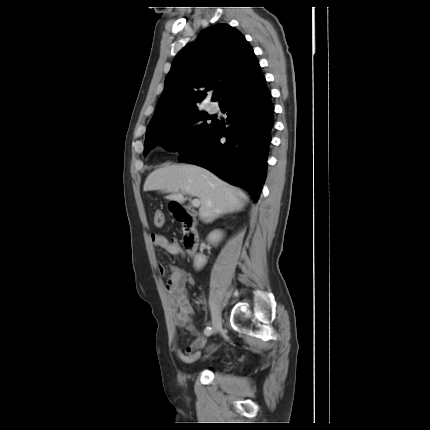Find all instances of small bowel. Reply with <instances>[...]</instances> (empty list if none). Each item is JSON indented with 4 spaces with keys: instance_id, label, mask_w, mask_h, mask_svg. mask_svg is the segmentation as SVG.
I'll use <instances>...</instances> for the list:
<instances>
[{
    "instance_id": "c3829d8e",
    "label": "small bowel",
    "mask_w": 430,
    "mask_h": 430,
    "mask_svg": "<svg viewBox=\"0 0 430 430\" xmlns=\"http://www.w3.org/2000/svg\"><path fill=\"white\" fill-rule=\"evenodd\" d=\"M151 240L155 246L165 250L169 254L175 256L183 254V250L175 238L168 239L161 233H153L151 235ZM158 268L161 272L164 271L162 264H159ZM194 285L195 279L191 274L185 272L178 266H170V275L164 288L167 291L172 308L173 323L179 328L186 327L195 336L194 341L185 351H182L177 343H174V351L177 357L186 363L197 361L207 342V335H205V333H197L192 325L194 309L188 297L187 287H192Z\"/></svg>"
}]
</instances>
